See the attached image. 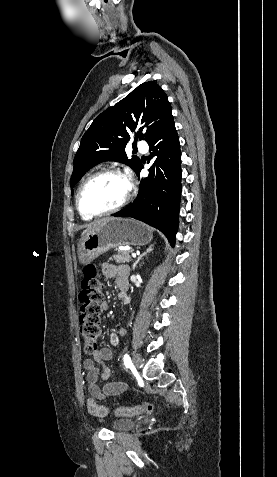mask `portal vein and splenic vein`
<instances>
[{
    "instance_id": "portal-vein-and-splenic-vein-1",
    "label": "portal vein and splenic vein",
    "mask_w": 277,
    "mask_h": 477,
    "mask_svg": "<svg viewBox=\"0 0 277 477\" xmlns=\"http://www.w3.org/2000/svg\"><path fill=\"white\" fill-rule=\"evenodd\" d=\"M132 257H136V253L135 252H132Z\"/></svg>"
}]
</instances>
